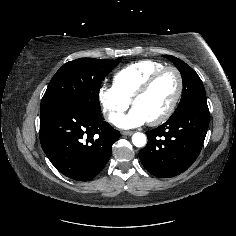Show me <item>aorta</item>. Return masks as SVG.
<instances>
[{
  "mask_svg": "<svg viewBox=\"0 0 236 236\" xmlns=\"http://www.w3.org/2000/svg\"><path fill=\"white\" fill-rule=\"evenodd\" d=\"M132 142L136 147H144L147 143V137L144 133L136 132L132 136Z\"/></svg>",
  "mask_w": 236,
  "mask_h": 236,
  "instance_id": "aorta-1",
  "label": "aorta"
}]
</instances>
